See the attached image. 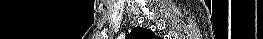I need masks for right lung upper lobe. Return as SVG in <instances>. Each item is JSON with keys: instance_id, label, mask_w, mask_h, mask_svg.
Wrapping results in <instances>:
<instances>
[{"instance_id": "obj_1", "label": "right lung upper lobe", "mask_w": 263, "mask_h": 39, "mask_svg": "<svg viewBox=\"0 0 263 39\" xmlns=\"http://www.w3.org/2000/svg\"><path fill=\"white\" fill-rule=\"evenodd\" d=\"M131 39H153L155 35L151 30L141 27H135L131 33H129Z\"/></svg>"}]
</instances>
